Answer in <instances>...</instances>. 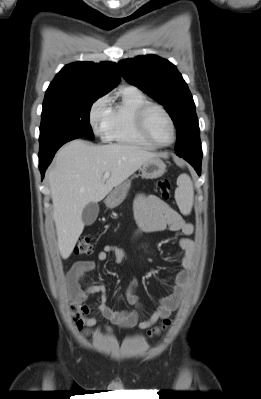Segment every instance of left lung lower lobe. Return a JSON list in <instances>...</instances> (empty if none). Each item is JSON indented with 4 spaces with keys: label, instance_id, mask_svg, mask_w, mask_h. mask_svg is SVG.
Listing matches in <instances>:
<instances>
[{
    "label": "left lung lower lobe",
    "instance_id": "1",
    "mask_svg": "<svg viewBox=\"0 0 261 399\" xmlns=\"http://www.w3.org/2000/svg\"><path fill=\"white\" fill-rule=\"evenodd\" d=\"M188 161L197 171L198 175L201 174V160L202 156H180Z\"/></svg>",
    "mask_w": 261,
    "mask_h": 399
}]
</instances>
